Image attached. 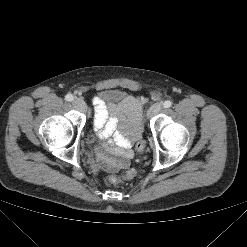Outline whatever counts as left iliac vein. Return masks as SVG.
<instances>
[{
	"instance_id": "obj_1",
	"label": "left iliac vein",
	"mask_w": 247,
	"mask_h": 247,
	"mask_svg": "<svg viewBox=\"0 0 247 247\" xmlns=\"http://www.w3.org/2000/svg\"><path fill=\"white\" fill-rule=\"evenodd\" d=\"M162 109H163L162 104H160V103H155V104H153V105L149 108V110H148V112H147V116H148V117H152V116H154V115H157L158 113H160V112L162 111Z\"/></svg>"
}]
</instances>
